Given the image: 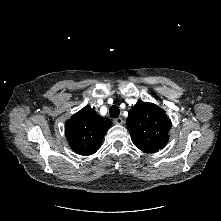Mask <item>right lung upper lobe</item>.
Returning a JSON list of instances; mask_svg holds the SVG:
<instances>
[{"instance_id":"1","label":"right lung upper lobe","mask_w":221,"mask_h":221,"mask_svg":"<svg viewBox=\"0 0 221 221\" xmlns=\"http://www.w3.org/2000/svg\"><path fill=\"white\" fill-rule=\"evenodd\" d=\"M111 121L98 115L89 106H85L66 122L65 136L71 148L79 155L94 154L110 128Z\"/></svg>"}]
</instances>
